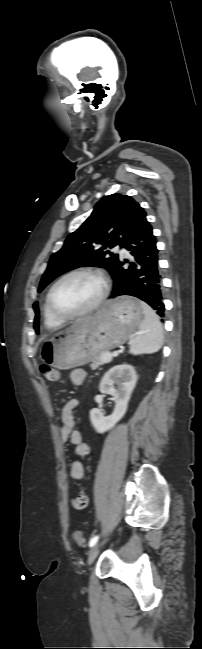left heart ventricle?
Listing matches in <instances>:
<instances>
[{
  "label": "left heart ventricle",
  "instance_id": "obj_1",
  "mask_svg": "<svg viewBox=\"0 0 202 649\" xmlns=\"http://www.w3.org/2000/svg\"><path fill=\"white\" fill-rule=\"evenodd\" d=\"M101 292L100 281L87 274H77L63 280L55 289L53 302L56 308L72 314L90 306Z\"/></svg>",
  "mask_w": 202,
  "mask_h": 649
}]
</instances>
